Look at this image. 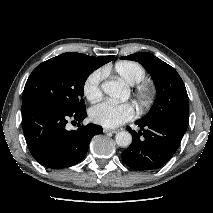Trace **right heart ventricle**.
Listing matches in <instances>:
<instances>
[{
	"label": "right heart ventricle",
	"instance_id": "right-heart-ventricle-1",
	"mask_svg": "<svg viewBox=\"0 0 213 213\" xmlns=\"http://www.w3.org/2000/svg\"><path fill=\"white\" fill-rule=\"evenodd\" d=\"M115 71L126 83L136 85L145 78V69L133 61H121L115 65Z\"/></svg>",
	"mask_w": 213,
	"mask_h": 213
}]
</instances>
